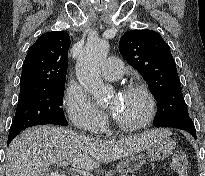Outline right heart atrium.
Segmentation results:
<instances>
[{"label": "right heart atrium", "instance_id": "1", "mask_svg": "<svg viewBox=\"0 0 205 176\" xmlns=\"http://www.w3.org/2000/svg\"><path fill=\"white\" fill-rule=\"evenodd\" d=\"M64 105L71 122L84 131H92L106 120L105 114L93 104L82 90L75 86H70L67 89Z\"/></svg>", "mask_w": 205, "mask_h": 176}]
</instances>
